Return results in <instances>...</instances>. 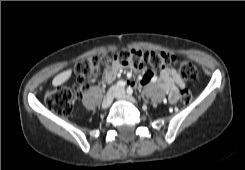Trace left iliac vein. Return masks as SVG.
I'll use <instances>...</instances> for the list:
<instances>
[{"label": "left iliac vein", "instance_id": "obj_1", "mask_svg": "<svg viewBox=\"0 0 245 170\" xmlns=\"http://www.w3.org/2000/svg\"><path fill=\"white\" fill-rule=\"evenodd\" d=\"M115 98H117L119 100H126V101L133 103V104H137V100L131 96L126 95L123 88L117 89V93L115 94Z\"/></svg>", "mask_w": 245, "mask_h": 170}]
</instances>
